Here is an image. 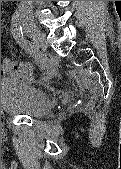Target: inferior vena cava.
I'll list each match as a JSON object with an SVG mask.
<instances>
[{"mask_svg": "<svg viewBox=\"0 0 121 169\" xmlns=\"http://www.w3.org/2000/svg\"><path fill=\"white\" fill-rule=\"evenodd\" d=\"M28 4H31V3H33V1H26Z\"/></svg>", "mask_w": 121, "mask_h": 169, "instance_id": "inferior-vena-cava-1", "label": "inferior vena cava"}]
</instances>
